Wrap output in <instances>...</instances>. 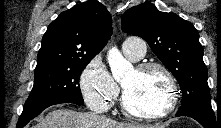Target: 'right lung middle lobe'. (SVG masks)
<instances>
[{
    "label": "right lung middle lobe",
    "instance_id": "dd1d6c3e",
    "mask_svg": "<svg viewBox=\"0 0 221 128\" xmlns=\"http://www.w3.org/2000/svg\"><path fill=\"white\" fill-rule=\"evenodd\" d=\"M90 60H77L67 65L35 70L34 86L24 108L52 99H65L83 104L79 78Z\"/></svg>",
    "mask_w": 221,
    "mask_h": 128
}]
</instances>
